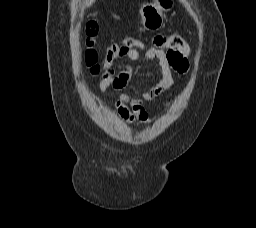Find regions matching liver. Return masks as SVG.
Segmentation results:
<instances>
[{"label":"liver","mask_w":256,"mask_h":228,"mask_svg":"<svg viewBox=\"0 0 256 228\" xmlns=\"http://www.w3.org/2000/svg\"><path fill=\"white\" fill-rule=\"evenodd\" d=\"M94 2H95V0H86V1H85V6L89 7V6H91ZM143 6H144V5H143Z\"/></svg>","instance_id":"6515ba94"}]
</instances>
